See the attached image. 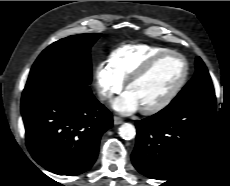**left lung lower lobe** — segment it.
<instances>
[{
  "mask_svg": "<svg viewBox=\"0 0 230 186\" xmlns=\"http://www.w3.org/2000/svg\"><path fill=\"white\" fill-rule=\"evenodd\" d=\"M216 114L215 94L170 103L153 116L136 121L135 168L165 180L186 166L208 137Z\"/></svg>",
  "mask_w": 230,
  "mask_h": 186,
  "instance_id": "obj_1",
  "label": "left lung lower lobe"
}]
</instances>
